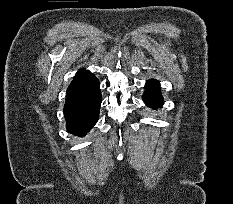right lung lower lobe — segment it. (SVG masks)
<instances>
[{
  "instance_id": "obj_1",
  "label": "right lung lower lobe",
  "mask_w": 233,
  "mask_h": 204,
  "mask_svg": "<svg viewBox=\"0 0 233 204\" xmlns=\"http://www.w3.org/2000/svg\"><path fill=\"white\" fill-rule=\"evenodd\" d=\"M102 101L100 84L89 71L79 72L66 92L64 116L67 130L85 135L97 122Z\"/></svg>"
}]
</instances>
